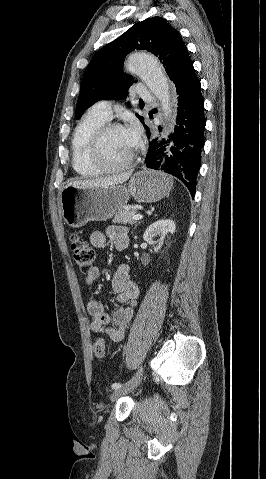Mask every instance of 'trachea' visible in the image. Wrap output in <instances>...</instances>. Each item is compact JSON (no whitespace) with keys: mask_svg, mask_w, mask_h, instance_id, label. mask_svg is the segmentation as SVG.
Listing matches in <instances>:
<instances>
[{"mask_svg":"<svg viewBox=\"0 0 266 479\" xmlns=\"http://www.w3.org/2000/svg\"><path fill=\"white\" fill-rule=\"evenodd\" d=\"M140 103H141V104H144V102H143V101H140Z\"/></svg>","mask_w":266,"mask_h":479,"instance_id":"obj_1","label":"trachea"}]
</instances>
